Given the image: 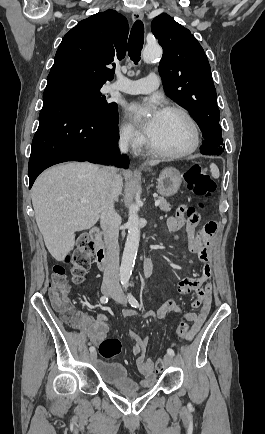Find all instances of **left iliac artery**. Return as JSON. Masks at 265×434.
Returning <instances> with one entry per match:
<instances>
[{"instance_id": "obj_1", "label": "left iliac artery", "mask_w": 265, "mask_h": 434, "mask_svg": "<svg viewBox=\"0 0 265 434\" xmlns=\"http://www.w3.org/2000/svg\"><path fill=\"white\" fill-rule=\"evenodd\" d=\"M123 285H124L125 289H127L128 284L127 283H123ZM127 297H128V301H129V303L131 304L132 307H135V308L139 307V303H138L137 299L131 293H128ZM167 353L170 354V355H172V356L175 355L174 350L171 349V348L167 349Z\"/></svg>"}]
</instances>
